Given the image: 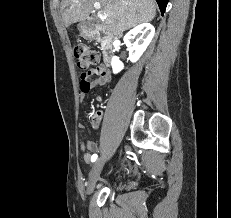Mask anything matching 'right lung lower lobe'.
<instances>
[{
    "instance_id": "obj_1",
    "label": "right lung lower lobe",
    "mask_w": 231,
    "mask_h": 218,
    "mask_svg": "<svg viewBox=\"0 0 231 218\" xmlns=\"http://www.w3.org/2000/svg\"><path fill=\"white\" fill-rule=\"evenodd\" d=\"M156 1H157L158 5H159L160 11H161V13L163 15L169 0H156Z\"/></svg>"
}]
</instances>
